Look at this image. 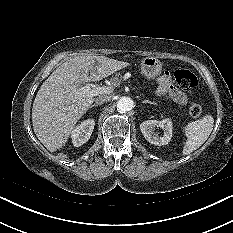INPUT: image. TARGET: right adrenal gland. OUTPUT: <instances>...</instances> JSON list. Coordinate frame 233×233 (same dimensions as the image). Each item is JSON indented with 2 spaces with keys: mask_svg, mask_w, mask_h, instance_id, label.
Here are the masks:
<instances>
[{
  "mask_svg": "<svg viewBox=\"0 0 233 233\" xmlns=\"http://www.w3.org/2000/svg\"><path fill=\"white\" fill-rule=\"evenodd\" d=\"M96 106H98V105L97 104H93V105L90 106V108H93V107H96Z\"/></svg>",
  "mask_w": 233,
  "mask_h": 233,
  "instance_id": "right-adrenal-gland-1",
  "label": "right adrenal gland"
}]
</instances>
